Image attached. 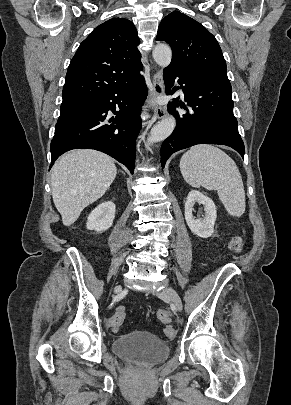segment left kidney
I'll use <instances>...</instances> for the list:
<instances>
[{
    "label": "left kidney",
    "instance_id": "5707ae66",
    "mask_svg": "<svg viewBox=\"0 0 291 405\" xmlns=\"http://www.w3.org/2000/svg\"><path fill=\"white\" fill-rule=\"evenodd\" d=\"M198 202L205 206V217L195 219L192 211L194 204ZM217 218V211L214 202L197 190H191L185 203V220L193 234L208 238L214 232V224Z\"/></svg>",
    "mask_w": 291,
    "mask_h": 405
}]
</instances>
